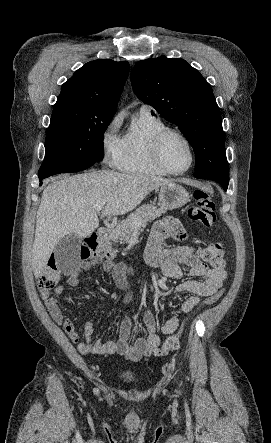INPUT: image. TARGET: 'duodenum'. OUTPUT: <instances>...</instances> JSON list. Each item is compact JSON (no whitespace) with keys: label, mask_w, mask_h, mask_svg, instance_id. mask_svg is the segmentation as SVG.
I'll return each mask as SVG.
<instances>
[{"label":"duodenum","mask_w":271,"mask_h":443,"mask_svg":"<svg viewBox=\"0 0 271 443\" xmlns=\"http://www.w3.org/2000/svg\"><path fill=\"white\" fill-rule=\"evenodd\" d=\"M97 235L102 240H111L114 236V233L111 229L101 228L99 229Z\"/></svg>","instance_id":"1"}]
</instances>
